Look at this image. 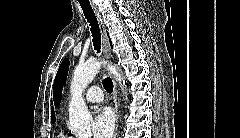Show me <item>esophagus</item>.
<instances>
[{
  "mask_svg": "<svg viewBox=\"0 0 240 138\" xmlns=\"http://www.w3.org/2000/svg\"><path fill=\"white\" fill-rule=\"evenodd\" d=\"M92 8L97 17L100 32H101L103 53H104L106 59H111V57H112L111 48H110L104 21L102 19V16L99 12L98 7L95 4H93ZM112 83H113L112 99L114 102V114H115V131H114L113 138H116L117 130H118V123H119V114H118V101H117V86H116L115 79L113 77H112Z\"/></svg>",
  "mask_w": 240,
  "mask_h": 138,
  "instance_id": "obj_1",
  "label": "esophagus"
}]
</instances>
